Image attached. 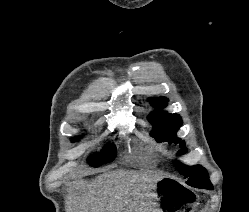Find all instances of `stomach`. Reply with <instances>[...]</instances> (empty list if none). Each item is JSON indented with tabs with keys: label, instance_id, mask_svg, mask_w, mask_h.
Wrapping results in <instances>:
<instances>
[{
	"label": "stomach",
	"instance_id": "0dacf381",
	"mask_svg": "<svg viewBox=\"0 0 249 212\" xmlns=\"http://www.w3.org/2000/svg\"><path fill=\"white\" fill-rule=\"evenodd\" d=\"M155 192L160 212H187L188 206H198L197 194L173 178L158 180Z\"/></svg>",
	"mask_w": 249,
	"mask_h": 212
}]
</instances>
